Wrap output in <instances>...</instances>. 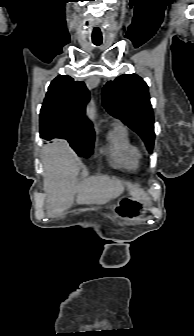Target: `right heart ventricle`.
Masks as SVG:
<instances>
[{
    "instance_id": "e07e8e85",
    "label": "right heart ventricle",
    "mask_w": 194,
    "mask_h": 336,
    "mask_svg": "<svg viewBox=\"0 0 194 336\" xmlns=\"http://www.w3.org/2000/svg\"><path fill=\"white\" fill-rule=\"evenodd\" d=\"M106 153L114 165L128 169L136 168L141 158L139 148L122 124H115L109 132Z\"/></svg>"
}]
</instances>
